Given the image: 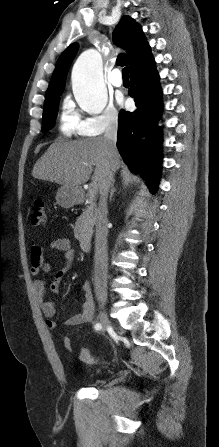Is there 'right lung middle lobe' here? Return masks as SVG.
I'll list each match as a JSON object with an SVG mask.
<instances>
[{
  "mask_svg": "<svg viewBox=\"0 0 219 447\" xmlns=\"http://www.w3.org/2000/svg\"><path fill=\"white\" fill-rule=\"evenodd\" d=\"M61 94L62 93H59L45 99L42 132H46L54 126V121L56 119L58 104L60 100L59 97Z\"/></svg>",
  "mask_w": 219,
  "mask_h": 447,
  "instance_id": "dd1d6c3e",
  "label": "right lung middle lobe"
}]
</instances>
